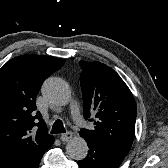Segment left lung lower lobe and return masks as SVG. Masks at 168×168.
<instances>
[{
    "instance_id": "0a47b994",
    "label": "left lung lower lobe",
    "mask_w": 168,
    "mask_h": 168,
    "mask_svg": "<svg viewBox=\"0 0 168 168\" xmlns=\"http://www.w3.org/2000/svg\"><path fill=\"white\" fill-rule=\"evenodd\" d=\"M84 139L89 151L85 159L77 162L80 168H118L126 157L125 154L96 140Z\"/></svg>"
}]
</instances>
